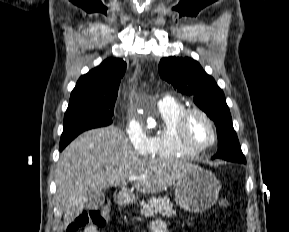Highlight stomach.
Returning a JSON list of instances; mask_svg holds the SVG:
<instances>
[{"instance_id": "1", "label": "stomach", "mask_w": 289, "mask_h": 232, "mask_svg": "<svg viewBox=\"0 0 289 232\" xmlns=\"http://www.w3.org/2000/svg\"><path fill=\"white\" fill-rule=\"evenodd\" d=\"M219 190V181L211 171L193 166L175 185L176 203L186 211L203 212L217 201Z\"/></svg>"}]
</instances>
